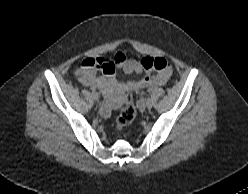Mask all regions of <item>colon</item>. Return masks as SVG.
<instances>
[{
	"mask_svg": "<svg viewBox=\"0 0 248 194\" xmlns=\"http://www.w3.org/2000/svg\"><path fill=\"white\" fill-rule=\"evenodd\" d=\"M143 66L147 70L163 71L167 69L168 62L164 58L147 57L144 59ZM122 99L123 106L114 124L116 131L119 132L131 124L136 116L132 94L129 91H123Z\"/></svg>",
	"mask_w": 248,
	"mask_h": 194,
	"instance_id": "5ec220e1",
	"label": "colon"
}]
</instances>
